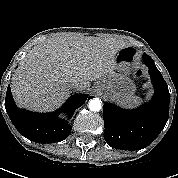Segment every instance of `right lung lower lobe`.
Segmentation results:
<instances>
[{
  "label": "right lung lower lobe",
  "instance_id": "right-lung-lower-lobe-1",
  "mask_svg": "<svg viewBox=\"0 0 178 178\" xmlns=\"http://www.w3.org/2000/svg\"><path fill=\"white\" fill-rule=\"evenodd\" d=\"M92 96L86 94L72 95L61 109L52 113H34L20 110L11 95L10 86L7 88L5 108L12 123L21 135L36 143H54L64 140L71 132V125L65 119L58 118V114L65 112L71 118L87 99Z\"/></svg>",
  "mask_w": 178,
  "mask_h": 178
}]
</instances>
